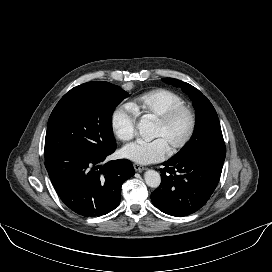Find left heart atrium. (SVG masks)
Here are the masks:
<instances>
[{
  "instance_id": "obj_1",
  "label": "left heart atrium",
  "mask_w": 272,
  "mask_h": 272,
  "mask_svg": "<svg viewBox=\"0 0 272 272\" xmlns=\"http://www.w3.org/2000/svg\"><path fill=\"white\" fill-rule=\"evenodd\" d=\"M167 152L168 148L161 138L151 141L137 140L122 149L124 157L139 164L160 162L166 157Z\"/></svg>"
}]
</instances>
